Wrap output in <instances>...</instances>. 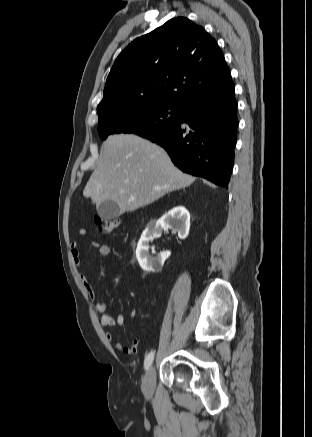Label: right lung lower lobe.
I'll return each mask as SVG.
<instances>
[{"instance_id": "obj_1", "label": "right lung lower lobe", "mask_w": 312, "mask_h": 437, "mask_svg": "<svg viewBox=\"0 0 312 437\" xmlns=\"http://www.w3.org/2000/svg\"><path fill=\"white\" fill-rule=\"evenodd\" d=\"M230 77L182 107L180 120L145 138L162 146L182 171L228 188L237 139V102Z\"/></svg>"}]
</instances>
